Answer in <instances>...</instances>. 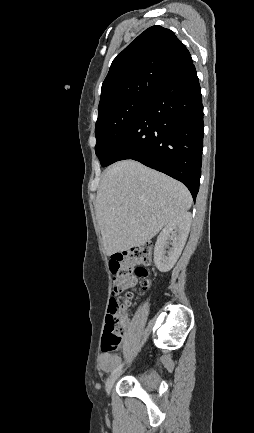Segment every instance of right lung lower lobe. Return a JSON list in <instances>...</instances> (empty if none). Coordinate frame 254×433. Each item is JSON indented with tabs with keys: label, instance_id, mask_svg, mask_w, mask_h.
<instances>
[{
	"label": "right lung lower lobe",
	"instance_id": "obj_1",
	"mask_svg": "<svg viewBox=\"0 0 254 433\" xmlns=\"http://www.w3.org/2000/svg\"><path fill=\"white\" fill-rule=\"evenodd\" d=\"M203 105L193 62L165 82L115 147L108 165L133 159L181 181L195 201L203 149Z\"/></svg>",
	"mask_w": 254,
	"mask_h": 433
}]
</instances>
